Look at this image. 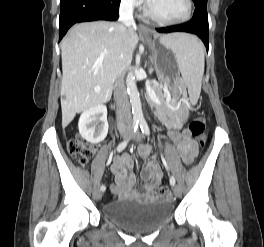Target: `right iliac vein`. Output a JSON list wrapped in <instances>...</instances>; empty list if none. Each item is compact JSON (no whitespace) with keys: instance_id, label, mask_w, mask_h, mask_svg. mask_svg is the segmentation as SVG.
<instances>
[{"instance_id":"63e3f726","label":"right iliac vein","mask_w":264,"mask_h":247,"mask_svg":"<svg viewBox=\"0 0 264 247\" xmlns=\"http://www.w3.org/2000/svg\"><path fill=\"white\" fill-rule=\"evenodd\" d=\"M128 134H129L128 130H125L122 132V137L126 138L128 136ZM94 198H95V200L99 201L102 198V192L98 189L95 190Z\"/></svg>"}]
</instances>
